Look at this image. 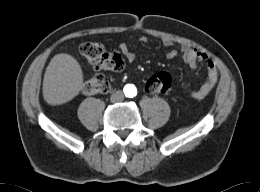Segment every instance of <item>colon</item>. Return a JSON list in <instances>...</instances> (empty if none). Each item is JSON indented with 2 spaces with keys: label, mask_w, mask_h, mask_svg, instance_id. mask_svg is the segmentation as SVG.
<instances>
[{
  "label": "colon",
  "mask_w": 260,
  "mask_h": 192,
  "mask_svg": "<svg viewBox=\"0 0 260 192\" xmlns=\"http://www.w3.org/2000/svg\"><path fill=\"white\" fill-rule=\"evenodd\" d=\"M80 53L95 71H121L124 60L116 52H108L100 42H85L80 45ZM86 94H104L110 90V84L103 75H97L83 85ZM145 90L149 94H169L172 90V77L167 72L153 74L146 82Z\"/></svg>",
  "instance_id": "colon-1"
}]
</instances>
